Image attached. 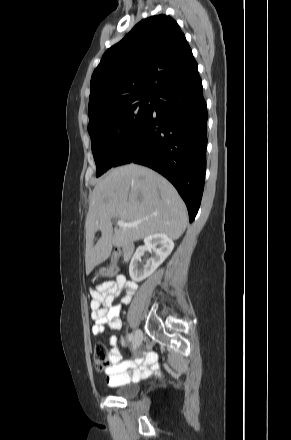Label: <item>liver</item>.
<instances>
[{"label": "liver", "mask_w": 291, "mask_h": 440, "mask_svg": "<svg viewBox=\"0 0 291 440\" xmlns=\"http://www.w3.org/2000/svg\"><path fill=\"white\" fill-rule=\"evenodd\" d=\"M113 219L135 227L114 228ZM188 224L186 205L174 186L155 171L136 164L110 170L92 192L86 217V273L104 262L112 245L133 243L155 233L177 240ZM101 231L95 243V234Z\"/></svg>", "instance_id": "1"}]
</instances>
